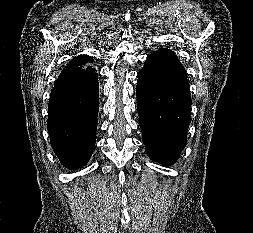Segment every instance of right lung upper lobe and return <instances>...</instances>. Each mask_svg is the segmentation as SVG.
Here are the masks:
<instances>
[{"label": "right lung upper lobe", "mask_w": 253, "mask_h": 233, "mask_svg": "<svg viewBox=\"0 0 253 233\" xmlns=\"http://www.w3.org/2000/svg\"><path fill=\"white\" fill-rule=\"evenodd\" d=\"M88 62H90V63L93 62V59L90 56L80 55V56L74 58L73 60H71L66 68L82 67V66H85Z\"/></svg>", "instance_id": "right-lung-upper-lobe-1"}]
</instances>
